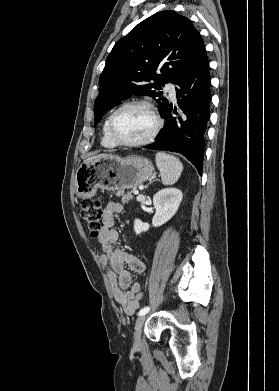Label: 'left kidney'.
Here are the masks:
<instances>
[{"label": "left kidney", "mask_w": 279, "mask_h": 391, "mask_svg": "<svg viewBox=\"0 0 279 391\" xmlns=\"http://www.w3.org/2000/svg\"><path fill=\"white\" fill-rule=\"evenodd\" d=\"M183 194L177 188H164L153 197L155 215L152 219L153 227H159L169 221L177 212L182 201ZM149 229L148 223H143L140 219L134 221V231L137 235Z\"/></svg>", "instance_id": "left-kidney-1"}]
</instances>
